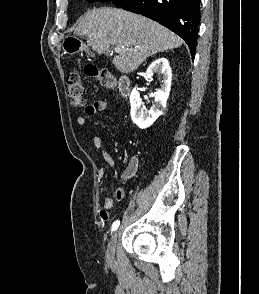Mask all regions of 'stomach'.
Listing matches in <instances>:
<instances>
[{
  "label": "stomach",
  "instance_id": "obj_1",
  "mask_svg": "<svg viewBox=\"0 0 259 294\" xmlns=\"http://www.w3.org/2000/svg\"><path fill=\"white\" fill-rule=\"evenodd\" d=\"M62 50L65 54L73 55L86 50V45L76 36L67 35L62 42Z\"/></svg>",
  "mask_w": 259,
  "mask_h": 294
}]
</instances>
